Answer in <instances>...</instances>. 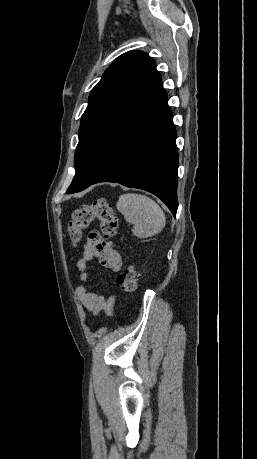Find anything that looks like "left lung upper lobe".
<instances>
[{"label": "left lung upper lobe", "mask_w": 257, "mask_h": 459, "mask_svg": "<svg viewBox=\"0 0 257 459\" xmlns=\"http://www.w3.org/2000/svg\"><path fill=\"white\" fill-rule=\"evenodd\" d=\"M157 74L154 60L142 51L124 53L106 69L81 118L76 173L67 194L91 185L102 165L107 135Z\"/></svg>", "instance_id": "1"}]
</instances>
